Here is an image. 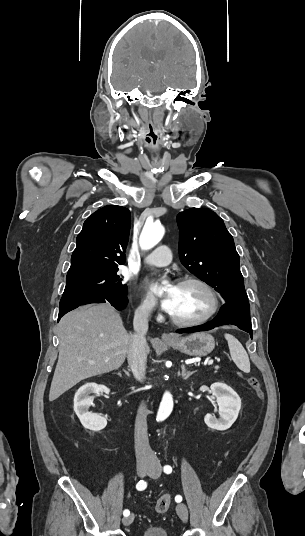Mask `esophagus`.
<instances>
[{"label": "esophagus", "instance_id": "obj_1", "mask_svg": "<svg viewBox=\"0 0 305 536\" xmlns=\"http://www.w3.org/2000/svg\"><path fill=\"white\" fill-rule=\"evenodd\" d=\"M161 338H162L163 342H171V341H173V337L171 335L167 334V333H163Z\"/></svg>", "mask_w": 305, "mask_h": 536}]
</instances>
